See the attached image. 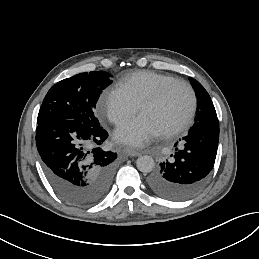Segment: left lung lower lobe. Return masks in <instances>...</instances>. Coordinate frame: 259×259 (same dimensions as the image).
<instances>
[{"label": "left lung lower lobe", "mask_w": 259, "mask_h": 259, "mask_svg": "<svg viewBox=\"0 0 259 259\" xmlns=\"http://www.w3.org/2000/svg\"><path fill=\"white\" fill-rule=\"evenodd\" d=\"M182 140L183 145L171 155L174 159L160 163L148 178L152 192L172 201L188 199L204 186L217 154L218 118L197 121Z\"/></svg>", "instance_id": "1"}]
</instances>
